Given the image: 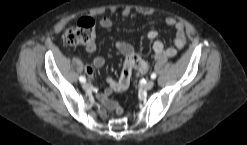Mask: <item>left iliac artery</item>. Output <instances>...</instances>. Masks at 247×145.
Wrapping results in <instances>:
<instances>
[{"label": "left iliac artery", "mask_w": 247, "mask_h": 145, "mask_svg": "<svg viewBox=\"0 0 247 145\" xmlns=\"http://www.w3.org/2000/svg\"><path fill=\"white\" fill-rule=\"evenodd\" d=\"M156 78V73H152L151 74V79H155Z\"/></svg>", "instance_id": "44dca946"}]
</instances>
